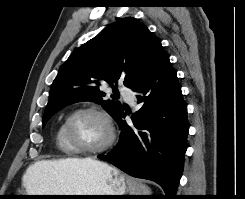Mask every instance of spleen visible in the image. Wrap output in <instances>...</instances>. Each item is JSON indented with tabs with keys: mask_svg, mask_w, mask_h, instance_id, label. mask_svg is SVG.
Listing matches in <instances>:
<instances>
[{
	"mask_svg": "<svg viewBox=\"0 0 245 199\" xmlns=\"http://www.w3.org/2000/svg\"><path fill=\"white\" fill-rule=\"evenodd\" d=\"M127 184L130 195H150V188L134 178H128Z\"/></svg>",
	"mask_w": 245,
	"mask_h": 199,
	"instance_id": "3e777b00",
	"label": "spleen"
}]
</instances>
